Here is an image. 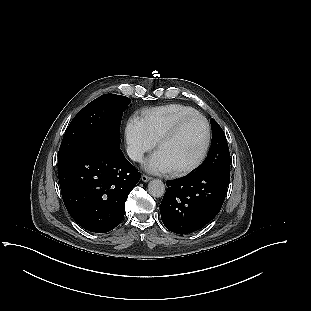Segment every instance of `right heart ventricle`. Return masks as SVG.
Instances as JSON below:
<instances>
[{
	"label": "right heart ventricle",
	"mask_w": 311,
	"mask_h": 311,
	"mask_svg": "<svg viewBox=\"0 0 311 311\" xmlns=\"http://www.w3.org/2000/svg\"><path fill=\"white\" fill-rule=\"evenodd\" d=\"M195 113L197 111L190 106L172 103L143 110L141 121L151 140L156 142L177 120Z\"/></svg>",
	"instance_id": "right-heart-ventricle-1"
}]
</instances>
